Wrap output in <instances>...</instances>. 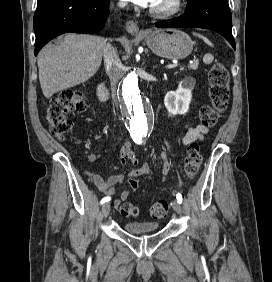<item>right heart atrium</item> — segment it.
<instances>
[{
	"label": "right heart atrium",
	"mask_w": 272,
	"mask_h": 282,
	"mask_svg": "<svg viewBox=\"0 0 272 282\" xmlns=\"http://www.w3.org/2000/svg\"><path fill=\"white\" fill-rule=\"evenodd\" d=\"M124 5L122 3H119L118 4V7H123Z\"/></svg>",
	"instance_id": "1"
}]
</instances>
